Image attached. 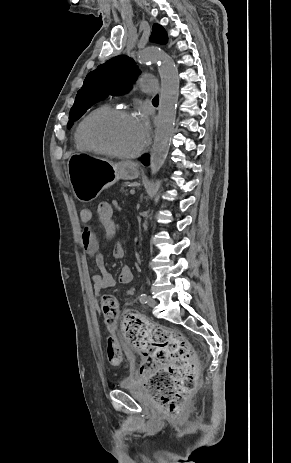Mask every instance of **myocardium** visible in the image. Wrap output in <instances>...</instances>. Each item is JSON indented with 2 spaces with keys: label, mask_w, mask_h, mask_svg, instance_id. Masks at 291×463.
Returning a JSON list of instances; mask_svg holds the SVG:
<instances>
[{
  "label": "myocardium",
  "mask_w": 291,
  "mask_h": 463,
  "mask_svg": "<svg viewBox=\"0 0 291 463\" xmlns=\"http://www.w3.org/2000/svg\"><path fill=\"white\" fill-rule=\"evenodd\" d=\"M118 117H133V115L129 110L120 109V108H113V109H109L107 111L92 115L85 121V123L82 126V129H81L82 140L87 145V147H89L91 150L96 151L98 153H102V154H105L111 157H117L121 159L135 158L139 156L145 149L146 141H144L142 145L134 152L123 153V152L116 151L105 144L94 141L90 136V129L94 124L98 122H102V121L112 120Z\"/></svg>",
  "instance_id": "myocardium-1"
}]
</instances>
